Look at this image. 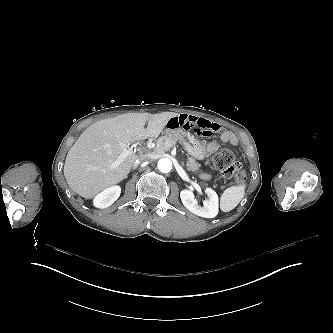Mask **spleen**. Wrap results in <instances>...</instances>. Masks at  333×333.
Instances as JSON below:
<instances>
[{
	"instance_id": "spleen-1",
	"label": "spleen",
	"mask_w": 333,
	"mask_h": 333,
	"mask_svg": "<svg viewBox=\"0 0 333 333\" xmlns=\"http://www.w3.org/2000/svg\"><path fill=\"white\" fill-rule=\"evenodd\" d=\"M246 189L247 181L245 179L237 185L225 188L220 196V210L224 213L232 211L243 199Z\"/></svg>"
}]
</instances>
